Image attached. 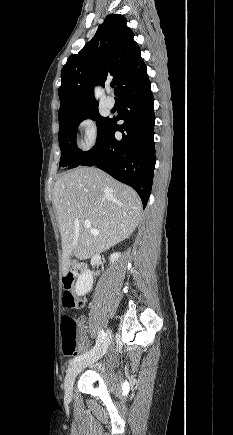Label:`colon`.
<instances>
[{"label": "colon", "instance_id": "colon-1", "mask_svg": "<svg viewBox=\"0 0 233 435\" xmlns=\"http://www.w3.org/2000/svg\"><path fill=\"white\" fill-rule=\"evenodd\" d=\"M75 281L76 277L69 273L62 282L65 312L61 318V337L62 351L65 355H75L80 350L78 346V323L71 314V310L81 307V302L77 301L70 292Z\"/></svg>", "mask_w": 233, "mask_h": 435}]
</instances>
